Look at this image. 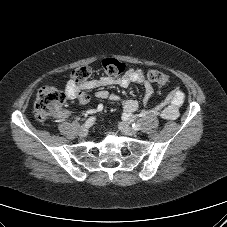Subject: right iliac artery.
Here are the masks:
<instances>
[{"instance_id":"obj_1","label":"right iliac artery","mask_w":227,"mask_h":227,"mask_svg":"<svg viewBox=\"0 0 227 227\" xmlns=\"http://www.w3.org/2000/svg\"><path fill=\"white\" fill-rule=\"evenodd\" d=\"M95 122V117H90L89 119H87V121L85 122V126H87L88 128L90 126H92Z\"/></svg>"}]
</instances>
